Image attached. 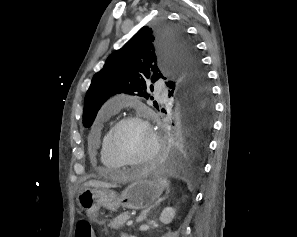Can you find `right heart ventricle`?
Here are the masks:
<instances>
[{
	"mask_svg": "<svg viewBox=\"0 0 297 237\" xmlns=\"http://www.w3.org/2000/svg\"><path fill=\"white\" fill-rule=\"evenodd\" d=\"M110 111H105V113ZM99 158L100 162L103 167L110 171H117L122 166L110 155L107 146H106V140L105 137L102 139L100 148H99Z\"/></svg>",
	"mask_w": 297,
	"mask_h": 237,
	"instance_id": "1",
	"label": "right heart ventricle"
}]
</instances>
